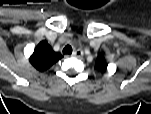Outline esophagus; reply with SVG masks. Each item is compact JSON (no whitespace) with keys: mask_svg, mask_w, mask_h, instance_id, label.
I'll use <instances>...</instances> for the list:
<instances>
[{"mask_svg":"<svg viewBox=\"0 0 151 114\" xmlns=\"http://www.w3.org/2000/svg\"><path fill=\"white\" fill-rule=\"evenodd\" d=\"M83 51L81 50V49H77V50H75L73 53H72V55L74 56V57H77V58H81L82 56H83Z\"/></svg>","mask_w":151,"mask_h":114,"instance_id":"esophagus-1","label":"esophagus"}]
</instances>
